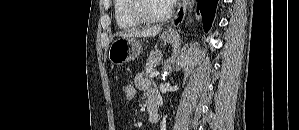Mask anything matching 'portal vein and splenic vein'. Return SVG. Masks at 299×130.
Here are the masks:
<instances>
[{"label":"portal vein and splenic vein","mask_w":299,"mask_h":130,"mask_svg":"<svg viewBox=\"0 0 299 130\" xmlns=\"http://www.w3.org/2000/svg\"><path fill=\"white\" fill-rule=\"evenodd\" d=\"M159 75V72L158 71H153L150 73V77H156Z\"/></svg>","instance_id":"18ae733b"}]
</instances>
